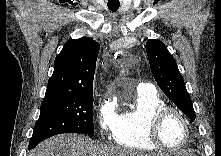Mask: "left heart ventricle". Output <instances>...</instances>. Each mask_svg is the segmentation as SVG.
<instances>
[{
    "label": "left heart ventricle",
    "instance_id": "obj_1",
    "mask_svg": "<svg viewBox=\"0 0 221 156\" xmlns=\"http://www.w3.org/2000/svg\"><path fill=\"white\" fill-rule=\"evenodd\" d=\"M161 139L169 147L180 146L186 136V129L182 119L174 113H170L161 127Z\"/></svg>",
    "mask_w": 221,
    "mask_h": 156
}]
</instances>
